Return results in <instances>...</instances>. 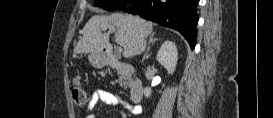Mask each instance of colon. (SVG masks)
I'll return each mask as SVG.
<instances>
[{
    "mask_svg": "<svg viewBox=\"0 0 273 118\" xmlns=\"http://www.w3.org/2000/svg\"><path fill=\"white\" fill-rule=\"evenodd\" d=\"M71 94L75 104L83 105L86 103V93L82 86L80 85L78 79H74Z\"/></svg>",
    "mask_w": 273,
    "mask_h": 118,
    "instance_id": "obj_1",
    "label": "colon"
}]
</instances>
